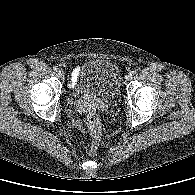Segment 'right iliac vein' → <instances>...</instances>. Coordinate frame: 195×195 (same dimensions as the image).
I'll return each instance as SVG.
<instances>
[{
	"instance_id": "63e3f726",
	"label": "right iliac vein",
	"mask_w": 195,
	"mask_h": 195,
	"mask_svg": "<svg viewBox=\"0 0 195 195\" xmlns=\"http://www.w3.org/2000/svg\"><path fill=\"white\" fill-rule=\"evenodd\" d=\"M57 76H58L59 78H63V77H64V73H63L61 70H58V71H57Z\"/></svg>"
}]
</instances>
